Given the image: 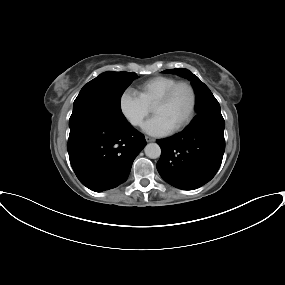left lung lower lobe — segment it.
<instances>
[{
  "label": "left lung lower lobe",
  "mask_w": 285,
  "mask_h": 285,
  "mask_svg": "<svg viewBox=\"0 0 285 285\" xmlns=\"http://www.w3.org/2000/svg\"><path fill=\"white\" fill-rule=\"evenodd\" d=\"M224 127L222 116H208L172 137L157 140L161 147L157 170L162 178L183 190L209 182L222 162Z\"/></svg>",
  "instance_id": "left-lung-lower-lobe-1"
}]
</instances>
